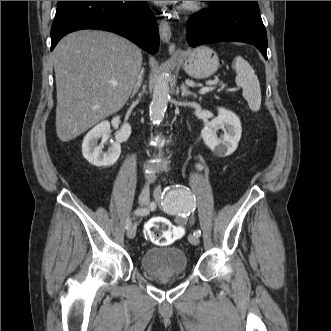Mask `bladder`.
Listing matches in <instances>:
<instances>
[{
	"label": "bladder",
	"instance_id": "obj_1",
	"mask_svg": "<svg viewBox=\"0 0 331 331\" xmlns=\"http://www.w3.org/2000/svg\"><path fill=\"white\" fill-rule=\"evenodd\" d=\"M144 272L154 277L180 276L188 269L186 254L176 246L145 250L140 257Z\"/></svg>",
	"mask_w": 331,
	"mask_h": 331
}]
</instances>
